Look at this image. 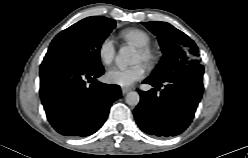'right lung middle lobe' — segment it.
Segmentation results:
<instances>
[{
	"instance_id": "right-lung-middle-lobe-1",
	"label": "right lung middle lobe",
	"mask_w": 248,
	"mask_h": 158,
	"mask_svg": "<svg viewBox=\"0 0 248 158\" xmlns=\"http://www.w3.org/2000/svg\"><path fill=\"white\" fill-rule=\"evenodd\" d=\"M116 22L101 16L85 18L60 32L51 42L44 61H63L84 67L101 65V44Z\"/></svg>"
}]
</instances>
